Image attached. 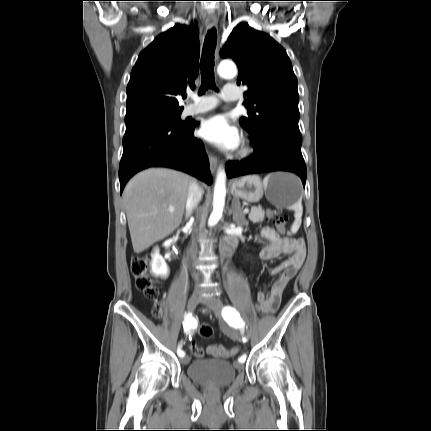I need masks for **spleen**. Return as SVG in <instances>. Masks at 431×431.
<instances>
[{
  "label": "spleen",
  "mask_w": 431,
  "mask_h": 431,
  "mask_svg": "<svg viewBox=\"0 0 431 431\" xmlns=\"http://www.w3.org/2000/svg\"><path fill=\"white\" fill-rule=\"evenodd\" d=\"M268 178L269 176L264 178V183H267ZM291 208L295 211V214H294L295 221L291 226V232L296 233L302 222V214H303L302 198H300V200L297 201Z\"/></svg>",
  "instance_id": "obj_1"
}]
</instances>
